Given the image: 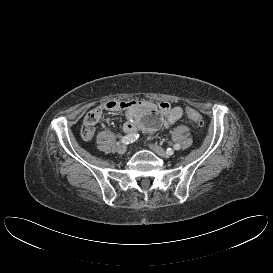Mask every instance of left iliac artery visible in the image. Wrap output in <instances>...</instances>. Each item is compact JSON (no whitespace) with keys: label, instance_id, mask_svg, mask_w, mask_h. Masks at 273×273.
<instances>
[{"label":"left iliac artery","instance_id":"44dca946","mask_svg":"<svg viewBox=\"0 0 273 273\" xmlns=\"http://www.w3.org/2000/svg\"><path fill=\"white\" fill-rule=\"evenodd\" d=\"M180 148H181V146H180L179 144H175V145L173 146V149H174V150H180ZM173 149H172V148H168V149H167V152H168L170 155H172V154H173Z\"/></svg>","mask_w":273,"mask_h":273}]
</instances>
